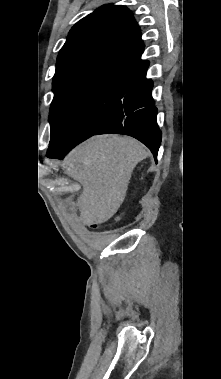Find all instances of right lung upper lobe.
<instances>
[{
	"instance_id": "right-lung-upper-lobe-1",
	"label": "right lung upper lobe",
	"mask_w": 221,
	"mask_h": 379,
	"mask_svg": "<svg viewBox=\"0 0 221 379\" xmlns=\"http://www.w3.org/2000/svg\"><path fill=\"white\" fill-rule=\"evenodd\" d=\"M132 13L121 5H106L77 22L57 57L53 92L99 78L123 79L148 64Z\"/></svg>"
}]
</instances>
